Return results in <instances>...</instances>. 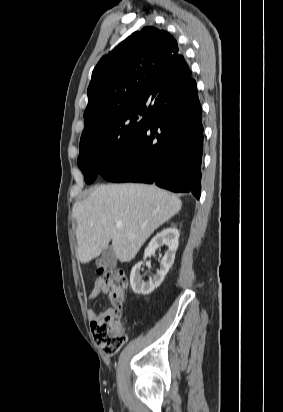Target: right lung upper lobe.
Instances as JSON below:
<instances>
[{
  "label": "right lung upper lobe",
  "instance_id": "1",
  "mask_svg": "<svg viewBox=\"0 0 283 412\" xmlns=\"http://www.w3.org/2000/svg\"><path fill=\"white\" fill-rule=\"evenodd\" d=\"M190 77L177 42L168 32L154 27L134 32L94 68L81 138L103 129L136 104L160 103Z\"/></svg>",
  "mask_w": 283,
  "mask_h": 412
}]
</instances>
